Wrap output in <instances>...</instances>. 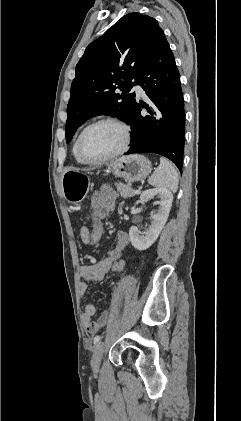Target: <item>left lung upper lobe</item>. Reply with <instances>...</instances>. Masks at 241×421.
I'll return each instance as SVG.
<instances>
[{"label":"left lung upper lobe","mask_w":241,"mask_h":421,"mask_svg":"<svg viewBox=\"0 0 241 421\" xmlns=\"http://www.w3.org/2000/svg\"><path fill=\"white\" fill-rule=\"evenodd\" d=\"M161 30L154 18L129 13L88 45L76 65L71 85L67 142L77 128L93 116L105 114L131 122L137 102L135 94L128 92L136 84L137 75Z\"/></svg>","instance_id":"obj_1"}]
</instances>
